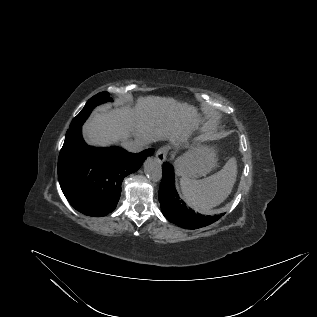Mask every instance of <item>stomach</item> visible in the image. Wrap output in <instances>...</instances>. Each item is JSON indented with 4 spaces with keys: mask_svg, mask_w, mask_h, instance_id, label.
Returning <instances> with one entry per match:
<instances>
[{
    "mask_svg": "<svg viewBox=\"0 0 317 317\" xmlns=\"http://www.w3.org/2000/svg\"><path fill=\"white\" fill-rule=\"evenodd\" d=\"M216 165V150L203 145L190 148L175 160L176 173L188 178L206 176Z\"/></svg>",
    "mask_w": 317,
    "mask_h": 317,
    "instance_id": "1",
    "label": "stomach"
}]
</instances>
